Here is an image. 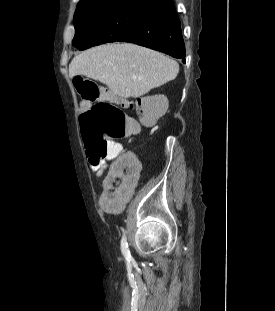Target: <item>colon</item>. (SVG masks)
Returning <instances> with one entry per match:
<instances>
[{
	"label": "colon",
	"mask_w": 275,
	"mask_h": 311,
	"mask_svg": "<svg viewBox=\"0 0 275 311\" xmlns=\"http://www.w3.org/2000/svg\"><path fill=\"white\" fill-rule=\"evenodd\" d=\"M73 82L81 101L91 103L99 100L80 115L82 135L89 155L98 160L117 157L121 151L117 140L135 134L134 122L122 109L107 100L104 92L92 80L77 76ZM126 107L136 110L142 125L150 126L157 119L148 100H138Z\"/></svg>",
	"instance_id": "colon-1"
}]
</instances>
